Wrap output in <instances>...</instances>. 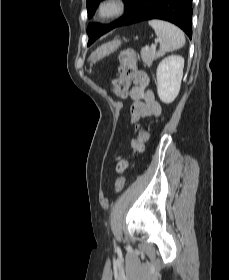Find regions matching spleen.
I'll return each instance as SVG.
<instances>
[{
    "instance_id": "spleen-1",
    "label": "spleen",
    "mask_w": 229,
    "mask_h": 280,
    "mask_svg": "<svg viewBox=\"0 0 229 280\" xmlns=\"http://www.w3.org/2000/svg\"><path fill=\"white\" fill-rule=\"evenodd\" d=\"M149 25L153 27L158 37L160 53L164 54L184 46V34L177 26L157 19L150 20Z\"/></svg>"
}]
</instances>
